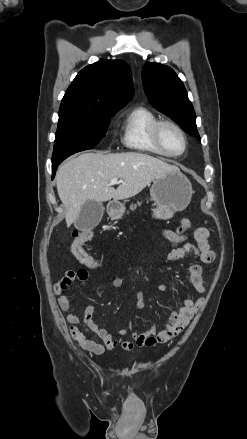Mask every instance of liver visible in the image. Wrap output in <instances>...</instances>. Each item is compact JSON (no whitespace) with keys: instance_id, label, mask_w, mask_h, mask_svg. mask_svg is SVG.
I'll list each match as a JSON object with an SVG mask.
<instances>
[{"instance_id":"obj_1","label":"liver","mask_w":247,"mask_h":439,"mask_svg":"<svg viewBox=\"0 0 247 439\" xmlns=\"http://www.w3.org/2000/svg\"><path fill=\"white\" fill-rule=\"evenodd\" d=\"M171 171H179V168L138 152H90L67 161L56 174L58 195L66 208L67 226L75 222L86 201L105 202L112 198L118 201L133 197ZM113 178L121 181L117 189L110 184Z\"/></svg>"}]
</instances>
